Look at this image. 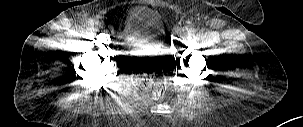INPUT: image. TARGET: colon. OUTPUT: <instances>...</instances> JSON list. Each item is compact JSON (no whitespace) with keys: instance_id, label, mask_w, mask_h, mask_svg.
Listing matches in <instances>:
<instances>
[{"instance_id":"5ec220e1","label":"colon","mask_w":303,"mask_h":127,"mask_svg":"<svg viewBox=\"0 0 303 127\" xmlns=\"http://www.w3.org/2000/svg\"><path fill=\"white\" fill-rule=\"evenodd\" d=\"M166 70V62L163 59L136 62L133 73L137 88L151 97H162L167 89Z\"/></svg>"}]
</instances>
